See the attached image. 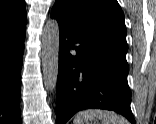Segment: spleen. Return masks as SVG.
Returning <instances> with one entry per match:
<instances>
[{"label": "spleen", "mask_w": 156, "mask_h": 124, "mask_svg": "<svg viewBox=\"0 0 156 124\" xmlns=\"http://www.w3.org/2000/svg\"><path fill=\"white\" fill-rule=\"evenodd\" d=\"M97 119H100L102 124H128L123 117L116 113L99 109H88L78 112L73 120V124H92Z\"/></svg>", "instance_id": "spleen-1"}]
</instances>
